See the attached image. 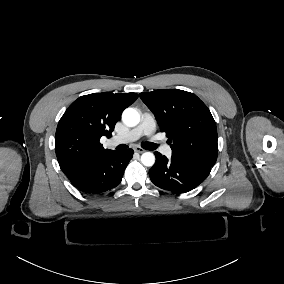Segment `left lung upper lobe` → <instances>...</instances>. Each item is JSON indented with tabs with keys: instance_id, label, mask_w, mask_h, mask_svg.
<instances>
[{
	"instance_id": "1",
	"label": "left lung upper lobe",
	"mask_w": 284,
	"mask_h": 284,
	"mask_svg": "<svg viewBox=\"0 0 284 284\" xmlns=\"http://www.w3.org/2000/svg\"><path fill=\"white\" fill-rule=\"evenodd\" d=\"M171 144L172 155L213 167L217 129L208 107L193 93L162 89L140 93Z\"/></svg>"
}]
</instances>
